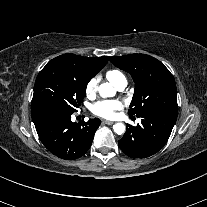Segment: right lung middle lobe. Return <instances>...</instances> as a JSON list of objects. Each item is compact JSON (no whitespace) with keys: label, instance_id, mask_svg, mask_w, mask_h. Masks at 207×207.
Segmentation results:
<instances>
[{"label":"right lung middle lobe","instance_id":"right-lung-middle-lobe-1","mask_svg":"<svg viewBox=\"0 0 207 207\" xmlns=\"http://www.w3.org/2000/svg\"><path fill=\"white\" fill-rule=\"evenodd\" d=\"M89 80L80 67L64 60L52 59L36 78L31 110L57 107L76 112Z\"/></svg>","mask_w":207,"mask_h":207}]
</instances>
